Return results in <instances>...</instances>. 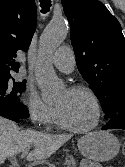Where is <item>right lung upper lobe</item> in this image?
Listing matches in <instances>:
<instances>
[{
  "mask_svg": "<svg viewBox=\"0 0 125 167\" xmlns=\"http://www.w3.org/2000/svg\"><path fill=\"white\" fill-rule=\"evenodd\" d=\"M36 23L35 0H0V76L18 72L16 52L28 49Z\"/></svg>",
  "mask_w": 125,
  "mask_h": 167,
  "instance_id": "obj_1",
  "label": "right lung upper lobe"
}]
</instances>
